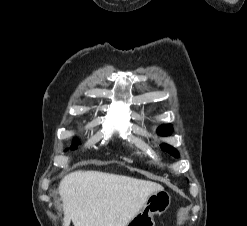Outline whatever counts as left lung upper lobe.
Here are the masks:
<instances>
[{
    "mask_svg": "<svg viewBox=\"0 0 247 226\" xmlns=\"http://www.w3.org/2000/svg\"><path fill=\"white\" fill-rule=\"evenodd\" d=\"M172 131H173V128L171 127V125H168V124L162 125L158 128V134L162 135V136L170 135ZM161 149L163 151L168 152L170 155H172L176 158L179 157L178 151L170 145L163 144V145H161Z\"/></svg>",
    "mask_w": 247,
    "mask_h": 226,
    "instance_id": "obj_1",
    "label": "left lung upper lobe"
}]
</instances>
